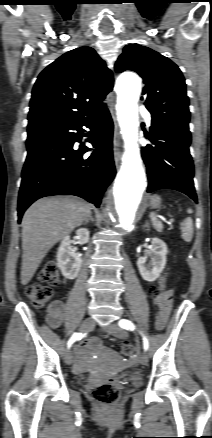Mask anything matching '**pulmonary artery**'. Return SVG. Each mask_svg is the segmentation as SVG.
<instances>
[{
	"instance_id": "pulmonary-artery-1",
	"label": "pulmonary artery",
	"mask_w": 212,
	"mask_h": 438,
	"mask_svg": "<svg viewBox=\"0 0 212 438\" xmlns=\"http://www.w3.org/2000/svg\"><path fill=\"white\" fill-rule=\"evenodd\" d=\"M140 112L143 114V116L145 117V120H146V122L147 123H150L151 122V114H150V112L146 109V108H144V107H142L141 109H140Z\"/></svg>"
}]
</instances>
